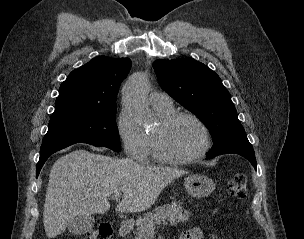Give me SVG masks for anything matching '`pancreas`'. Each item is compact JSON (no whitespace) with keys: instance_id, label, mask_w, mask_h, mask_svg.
<instances>
[{"instance_id":"cf45deb5","label":"pancreas","mask_w":304,"mask_h":239,"mask_svg":"<svg viewBox=\"0 0 304 239\" xmlns=\"http://www.w3.org/2000/svg\"><path fill=\"white\" fill-rule=\"evenodd\" d=\"M190 212L180 204L172 202L158 207L153 212H147L136 222L135 239H144L146 232L155 225L169 222L171 225L188 221Z\"/></svg>"}]
</instances>
